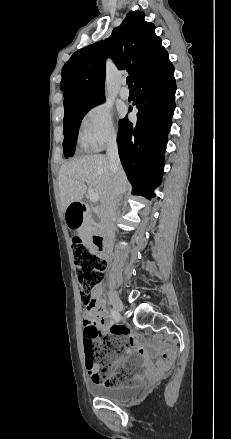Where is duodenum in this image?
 <instances>
[{
	"label": "duodenum",
	"instance_id": "410a0bca",
	"mask_svg": "<svg viewBox=\"0 0 231 439\" xmlns=\"http://www.w3.org/2000/svg\"><path fill=\"white\" fill-rule=\"evenodd\" d=\"M69 209H70L71 221L73 222L74 220H82L86 206L81 201H79L77 203L71 204ZM91 241L93 247L107 258V254L104 246V236L102 234L95 233L92 236Z\"/></svg>",
	"mask_w": 231,
	"mask_h": 439
}]
</instances>
